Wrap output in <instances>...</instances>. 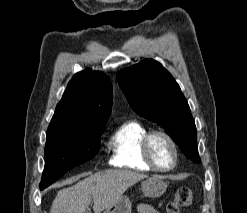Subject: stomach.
<instances>
[{"mask_svg":"<svg viewBox=\"0 0 247 213\" xmlns=\"http://www.w3.org/2000/svg\"><path fill=\"white\" fill-rule=\"evenodd\" d=\"M167 188V184L159 177L153 176L141 184V190L145 197H160ZM132 202L126 196H122L117 202L106 208L103 213H131Z\"/></svg>","mask_w":247,"mask_h":213,"instance_id":"stomach-1","label":"stomach"}]
</instances>
